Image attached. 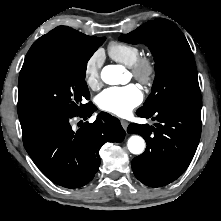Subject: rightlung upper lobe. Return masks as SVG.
Returning a JSON list of instances; mask_svg holds the SVG:
<instances>
[{
  "label": "right lung upper lobe",
  "instance_id": "cb5924a9",
  "mask_svg": "<svg viewBox=\"0 0 221 221\" xmlns=\"http://www.w3.org/2000/svg\"><path fill=\"white\" fill-rule=\"evenodd\" d=\"M99 39L87 36L67 26H58L34 42L25 57L20 75L33 69L51 55L76 46L94 43Z\"/></svg>",
  "mask_w": 221,
  "mask_h": 221
}]
</instances>
